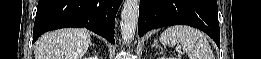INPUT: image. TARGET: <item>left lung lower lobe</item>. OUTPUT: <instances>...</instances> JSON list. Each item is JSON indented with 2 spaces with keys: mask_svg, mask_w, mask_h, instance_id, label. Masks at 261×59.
Wrapping results in <instances>:
<instances>
[{
  "mask_svg": "<svg viewBox=\"0 0 261 59\" xmlns=\"http://www.w3.org/2000/svg\"><path fill=\"white\" fill-rule=\"evenodd\" d=\"M190 25L207 33L220 48L216 0H140L138 34L171 25Z\"/></svg>",
  "mask_w": 261,
  "mask_h": 59,
  "instance_id": "left-lung-lower-lobe-1",
  "label": "left lung lower lobe"
}]
</instances>
